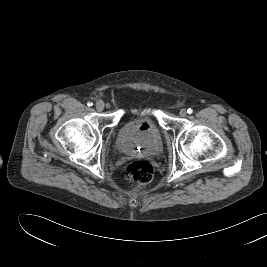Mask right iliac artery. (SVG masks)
Instances as JSON below:
<instances>
[{"mask_svg": "<svg viewBox=\"0 0 267 267\" xmlns=\"http://www.w3.org/2000/svg\"><path fill=\"white\" fill-rule=\"evenodd\" d=\"M87 105L90 107V106L93 105V103L92 102H88Z\"/></svg>", "mask_w": 267, "mask_h": 267, "instance_id": "1", "label": "right iliac artery"}]
</instances>
